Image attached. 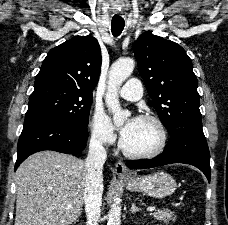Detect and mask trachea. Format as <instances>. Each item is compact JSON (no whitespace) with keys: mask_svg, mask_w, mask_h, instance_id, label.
Returning a JSON list of instances; mask_svg holds the SVG:
<instances>
[{"mask_svg":"<svg viewBox=\"0 0 228 225\" xmlns=\"http://www.w3.org/2000/svg\"><path fill=\"white\" fill-rule=\"evenodd\" d=\"M124 25H125V22L123 18L121 17L112 18L111 31L114 37H118V35L122 33L124 29Z\"/></svg>","mask_w":228,"mask_h":225,"instance_id":"obj_1","label":"trachea"}]
</instances>
